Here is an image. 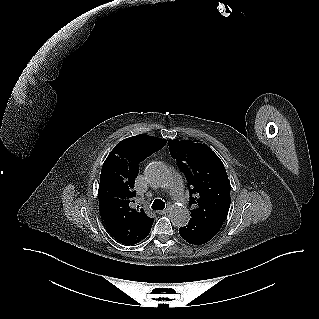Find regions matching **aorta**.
<instances>
[{"label": "aorta", "instance_id": "obj_1", "mask_svg": "<svg viewBox=\"0 0 319 319\" xmlns=\"http://www.w3.org/2000/svg\"><path fill=\"white\" fill-rule=\"evenodd\" d=\"M145 176L151 184L165 186L169 181L170 172L164 163L155 161L146 167ZM169 218L174 226L183 227L188 224L190 215L187 208L175 206L171 208Z\"/></svg>", "mask_w": 319, "mask_h": 319}]
</instances>
